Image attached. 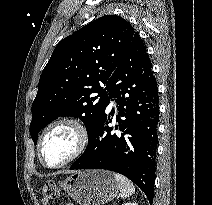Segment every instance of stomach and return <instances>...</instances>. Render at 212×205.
Segmentation results:
<instances>
[{
	"mask_svg": "<svg viewBox=\"0 0 212 205\" xmlns=\"http://www.w3.org/2000/svg\"><path fill=\"white\" fill-rule=\"evenodd\" d=\"M60 185L79 205H104L118 194L114 174L106 170L73 172Z\"/></svg>",
	"mask_w": 212,
	"mask_h": 205,
	"instance_id": "1",
	"label": "stomach"
}]
</instances>
